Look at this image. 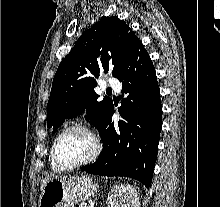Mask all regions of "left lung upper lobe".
<instances>
[{"mask_svg": "<svg viewBox=\"0 0 220 207\" xmlns=\"http://www.w3.org/2000/svg\"><path fill=\"white\" fill-rule=\"evenodd\" d=\"M140 43L117 17H102L86 30L58 66L47 104V127L56 129L65 118L86 112L99 131L112 101H97L95 79L108 71L118 77Z\"/></svg>", "mask_w": 220, "mask_h": 207, "instance_id": "obj_1", "label": "left lung upper lobe"}]
</instances>
